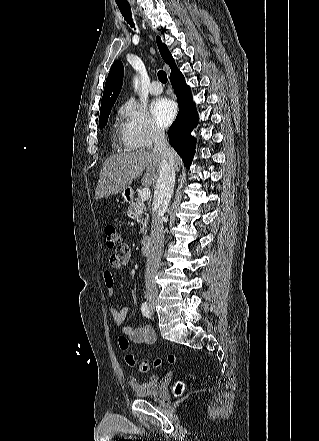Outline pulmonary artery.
Returning <instances> with one entry per match:
<instances>
[{"label": "pulmonary artery", "instance_id": "obj_1", "mask_svg": "<svg viewBox=\"0 0 319 441\" xmlns=\"http://www.w3.org/2000/svg\"><path fill=\"white\" fill-rule=\"evenodd\" d=\"M149 91L152 95H159L162 93V86L158 81H153L150 85Z\"/></svg>", "mask_w": 319, "mask_h": 441}]
</instances>
